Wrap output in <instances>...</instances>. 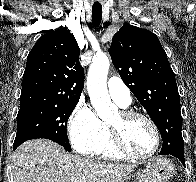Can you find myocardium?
Listing matches in <instances>:
<instances>
[{
  "label": "myocardium",
  "instance_id": "1",
  "mask_svg": "<svg viewBox=\"0 0 196 182\" xmlns=\"http://www.w3.org/2000/svg\"><path fill=\"white\" fill-rule=\"evenodd\" d=\"M120 117L124 122L131 121L133 119H143L145 120L152 128L155 136V145L154 148L152 149L151 152L141 155V154H136L132 152L124 143L123 137H122V132L120 129H116L110 125H108V131L110 135V139L112 142L113 147L115 150L123 155L124 157L135 159V160H146L151 157H153L159 150L160 145H161V134L160 130L156 124V122L147 114L134 111V110H129V109H123L119 112Z\"/></svg>",
  "mask_w": 196,
  "mask_h": 182
}]
</instances>
